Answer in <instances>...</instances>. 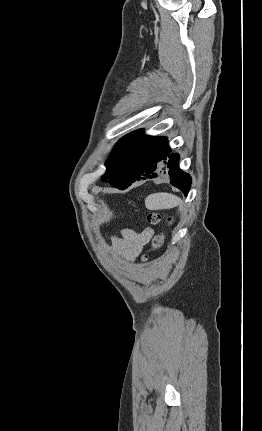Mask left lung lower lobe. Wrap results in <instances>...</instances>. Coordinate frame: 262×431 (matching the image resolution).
Instances as JSON below:
<instances>
[{
  "instance_id": "left-lung-lower-lobe-1",
  "label": "left lung lower lobe",
  "mask_w": 262,
  "mask_h": 431,
  "mask_svg": "<svg viewBox=\"0 0 262 431\" xmlns=\"http://www.w3.org/2000/svg\"><path fill=\"white\" fill-rule=\"evenodd\" d=\"M178 162L179 154H171L167 138L154 137L137 151L130 165V179L117 188L123 190L141 176L156 178L164 170V174L169 175L170 183L187 196L191 188V177L180 170ZM162 166L165 167L161 170Z\"/></svg>"
}]
</instances>
